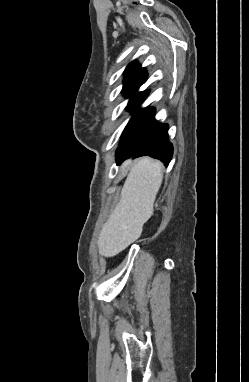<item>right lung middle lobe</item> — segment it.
Returning <instances> with one entry per match:
<instances>
[{
    "mask_svg": "<svg viewBox=\"0 0 249 382\" xmlns=\"http://www.w3.org/2000/svg\"><path fill=\"white\" fill-rule=\"evenodd\" d=\"M140 103H129L127 109L134 112L132 118L127 124L123 134H125L133 125H135L150 109V107L139 109Z\"/></svg>",
    "mask_w": 249,
    "mask_h": 382,
    "instance_id": "dd1d6c3e",
    "label": "right lung middle lobe"
}]
</instances>
